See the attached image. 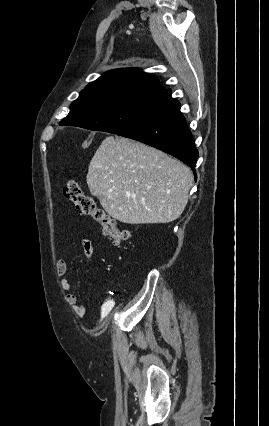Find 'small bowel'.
<instances>
[{"label":"small bowel","instance_id":"c3829d8e","mask_svg":"<svg viewBox=\"0 0 269 426\" xmlns=\"http://www.w3.org/2000/svg\"><path fill=\"white\" fill-rule=\"evenodd\" d=\"M81 243L83 246L86 261L89 264L93 263L96 259L97 254H96V250L92 240L84 238L82 239ZM66 271H67L66 260L59 259L56 264V272L59 277H62L60 286H61V289L66 292L65 300L71 306V308L73 309L74 313L77 316H80V317L84 316L86 314V308L84 305H82L79 302L77 295L71 292V282L69 279L64 278ZM89 283L91 286L93 285L91 281Z\"/></svg>","mask_w":269,"mask_h":426}]
</instances>
